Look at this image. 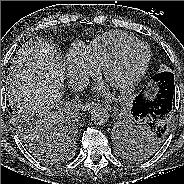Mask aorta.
<instances>
[{"label":"aorta","instance_id":"obj_1","mask_svg":"<svg viewBox=\"0 0 184 184\" xmlns=\"http://www.w3.org/2000/svg\"><path fill=\"white\" fill-rule=\"evenodd\" d=\"M91 121L95 125H104L109 119V113L104 107H94L90 112Z\"/></svg>","mask_w":184,"mask_h":184}]
</instances>
